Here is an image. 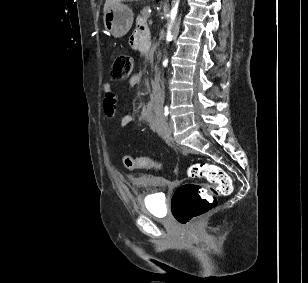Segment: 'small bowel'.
<instances>
[{"instance_id":"obj_1","label":"small bowel","mask_w":308,"mask_h":283,"mask_svg":"<svg viewBox=\"0 0 308 283\" xmlns=\"http://www.w3.org/2000/svg\"><path fill=\"white\" fill-rule=\"evenodd\" d=\"M148 32L145 21L142 18H138L136 22V30L130 37V45L134 49H139V37L142 32ZM140 75L135 74L130 79V83L135 85L140 82ZM104 91V112L107 118L113 119L116 114L117 108V95L114 92L113 86L111 83H105L103 85ZM139 116L141 118H145L148 113V109L146 106H140L139 108ZM132 121V117L129 113H125V115L121 119V125L126 127Z\"/></svg>"}]
</instances>
